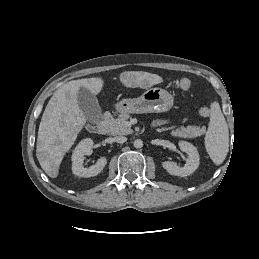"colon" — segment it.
I'll return each mask as SVG.
<instances>
[{
    "instance_id": "5ec220e1",
    "label": "colon",
    "mask_w": 259,
    "mask_h": 259,
    "mask_svg": "<svg viewBox=\"0 0 259 259\" xmlns=\"http://www.w3.org/2000/svg\"><path fill=\"white\" fill-rule=\"evenodd\" d=\"M178 86L181 90L187 91L191 88V81L186 77H182L178 81ZM199 114L202 117L207 118V117L210 116V109L208 107H201L200 110H199Z\"/></svg>"
}]
</instances>
